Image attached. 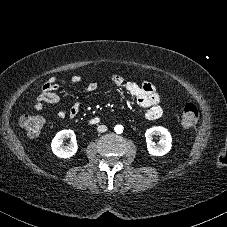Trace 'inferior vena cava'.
Segmentation results:
<instances>
[{
    "instance_id": "obj_1",
    "label": "inferior vena cava",
    "mask_w": 227,
    "mask_h": 227,
    "mask_svg": "<svg viewBox=\"0 0 227 227\" xmlns=\"http://www.w3.org/2000/svg\"><path fill=\"white\" fill-rule=\"evenodd\" d=\"M97 131L100 133L106 132L107 131V126L106 125H99L97 128Z\"/></svg>"
}]
</instances>
